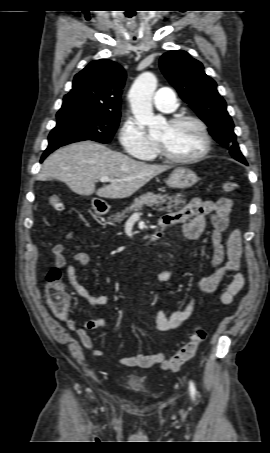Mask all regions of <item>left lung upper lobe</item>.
<instances>
[{
  "mask_svg": "<svg viewBox=\"0 0 270 453\" xmlns=\"http://www.w3.org/2000/svg\"><path fill=\"white\" fill-rule=\"evenodd\" d=\"M160 68L180 97L208 125L213 138L225 146L233 158L247 164L236 142L226 103L217 91L216 82L205 74L203 65L187 52L174 50L161 56Z\"/></svg>",
  "mask_w": 270,
  "mask_h": 453,
  "instance_id": "obj_1",
  "label": "left lung upper lobe"
}]
</instances>
